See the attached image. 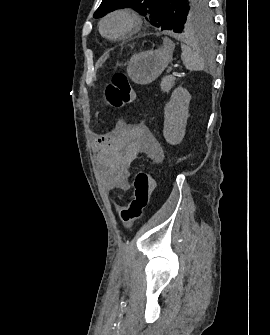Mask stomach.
<instances>
[{"mask_svg":"<svg viewBox=\"0 0 270 335\" xmlns=\"http://www.w3.org/2000/svg\"><path fill=\"white\" fill-rule=\"evenodd\" d=\"M174 44L167 40L158 50L139 52L130 58L127 64V74L135 84H151L163 70L172 62Z\"/></svg>","mask_w":270,"mask_h":335,"instance_id":"obj_1","label":"stomach"}]
</instances>
